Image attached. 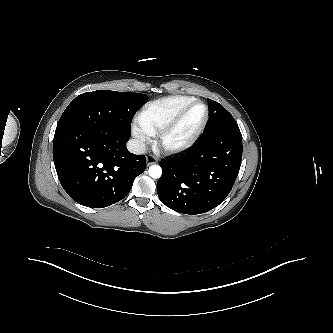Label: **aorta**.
<instances>
[{"label": "aorta", "instance_id": "762f6f07", "mask_svg": "<svg viewBox=\"0 0 333 333\" xmlns=\"http://www.w3.org/2000/svg\"><path fill=\"white\" fill-rule=\"evenodd\" d=\"M149 175H150V177H152L154 179L160 178L162 175L161 167L159 165H152L149 168Z\"/></svg>", "mask_w": 333, "mask_h": 333}]
</instances>
